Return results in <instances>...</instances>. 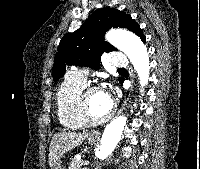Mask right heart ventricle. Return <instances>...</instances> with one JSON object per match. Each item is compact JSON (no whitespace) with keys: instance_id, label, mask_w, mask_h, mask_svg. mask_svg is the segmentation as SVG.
<instances>
[{"instance_id":"obj_1","label":"right heart ventricle","mask_w":200,"mask_h":169,"mask_svg":"<svg viewBox=\"0 0 200 169\" xmlns=\"http://www.w3.org/2000/svg\"><path fill=\"white\" fill-rule=\"evenodd\" d=\"M85 87L69 75L59 85L56 93V110L59 123L67 130H80L83 128L78 111L77 97L80 91Z\"/></svg>"}]
</instances>
